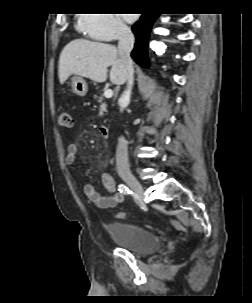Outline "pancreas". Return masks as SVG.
Listing matches in <instances>:
<instances>
[{
    "mask_svg": "<svg viewBox=\"0 0 252 303\" xmlns=\"http://www.w3.org/2000/svg\"><path fill=\"white\" fill-rule=\"evenodd\" d=\"M95 99H96V101H97L98 103L101 104V105H100V108H99V116H103V114H104L105 112H107V104H106V102H104V98H103L102 95H101V96H96V95H95Z\"/></svg>",
    "mask_w": 252,
    "mask_h": 303,
    "instance_id": "1",
    "label": "pancreas"
}]
</instances>
